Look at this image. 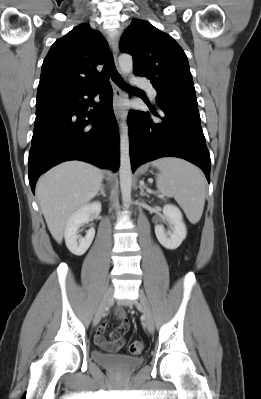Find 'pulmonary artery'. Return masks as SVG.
<instances>
[{
	"label": "pulmonary artery",
	"instance_id": "obj_1",
	"mask_svg": "<svg viewBox=\"0 0 261 399\" xmlns=\"http://www.w3.org/2000/svg\"><path fill=\"white\" fill-rule=\"evenodd\" d=\"M136 83L138 86H140L141 88L147 90L151 96L153 98H155L156 96V90L152 87V85L150 84V82L148 80L145 79H137Z\"/></svg>",
	"mask_w": 261,
	"mask_h": 399
}]
</instances>
